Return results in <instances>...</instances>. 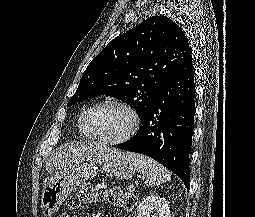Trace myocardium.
Instances as JSON below:
<instances>
[{
	"instance_id": "myocardium-1",
	"label": "myocardium",
	"mask_w": 255,
	"mask_h": 217,
	"mask_svg": "<svg viewBox=\"0 0 255 217\" xmlns=\"http://www.w3.org/2000/svg\"><path fill=\"white\" fill-rule=\"evenodd\" d=\"M105 104H111V105H116L118 107H121L130 116V125H129L128 129L126 130V132L124 134H122L118 138L105 139V138L99 137V136L95 135L90 130V128L88 126V116H89L90 112L94 108L101 106V105H105ZM139 126H140V117H139V114L136 111V109L130 103H128L124 100H121V99H117V98H106V99L99 100V101L93 103L92 105H90L84 111V113L82 115V127H83L85 133L89 136V138H92L100 143L107 144V145H118V144H121V143L129 140L137 132Z\"/></svg>"
}]
</instances>
